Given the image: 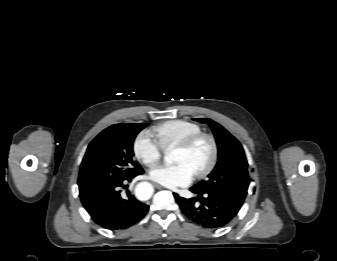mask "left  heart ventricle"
<instances>
[{"instance_id": "1", "label": "left heart ventricle", "mask_w": 337, "mask_h": 261, "mask_svg": "<svg viewBox=\"0 0 337 261\" xmlns=\"http://www.w3.org/2000/svg\"><path fill=\"white\" fill-rule=\"evenodd\" d=\"M210 158L211 145L207 140H203L189 151L176 149L173 160L175 163L187 165L195 173L203 169L210 161Z\"/></svg>"}]
</instances>
